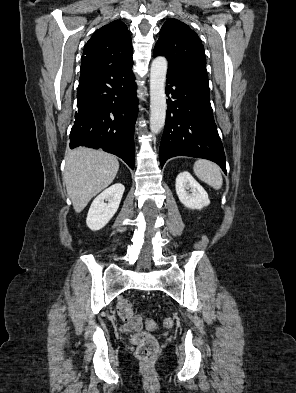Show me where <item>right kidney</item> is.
I'll use <instances>...</instances> for the list:
<instances>
[{"label": "right kidney", "instance_id": "1", "mask_svg": "<svg viewBox=\"0 0 296 393\" xmlns=\"http://www.w3.org/2000/svg\"><path fill=\"white\" fill-rule=\"evenodd\" d=\"M124 190V185L116 183L93 200L86 218V224L92 231L102 229L111 220L118 210Z\"/></svg>", "mask_w": 296, "mask_h": 393}]
</instances>
